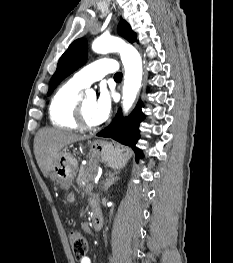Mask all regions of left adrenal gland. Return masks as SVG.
Returning a JSON list of instances; mask_svg holds the SVG:
<instances>
[{
  "label": "left adrenal gland",
  "mask_w": 233,
  "mask_h": 263,
  "mask_svg": "<svg viewBox=\"0 0 233 263\" xmlns=\"http://www.w3.org/2000/svg\"><path fill=\"white\" fill-rule=\"evenodd\" d=\"M119 173L120 171H115L110 175L109 179L105 184V191H107L110 188V186L119 179V177L117 176Z\"/></svg>",
  "instance_id": "a2214340"
}]
</instances>
